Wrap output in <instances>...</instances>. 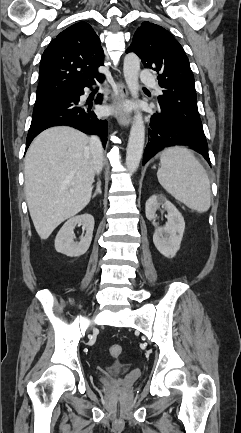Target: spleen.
Segmentation results:
<instances>
[{
    "label": "spleen",
    "mask_w": 241,
    "mask_h": 433,
    "mask_svg": "<svg viewBox=\"0 0 241 433\" xmlns=\"http://www.w3.org/2000/svg\"><path fill=\"white\" fill-rule=\"evenodd\" d=\"M160 162L157 172L160 185L188 208L198 213L208 211L211 205L210 181L191 151L179 146L165 149Z\"/></svg>",
    "instance_id": "3e777b00"
}]
</instances>
